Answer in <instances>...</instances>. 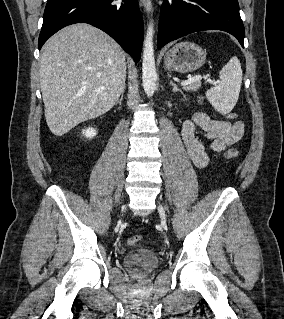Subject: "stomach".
Here are the masks:
<instances>
[{
    "label": "stomach",
    "mask_w": 284,
    "mask_h": 319,
    "mask_svg": "<svg viewBox=\"0 0 284 319\" xmlns=\"http://www.w3.org/2000/svg\"><path fill=\"white\" fill-rule=\"evenodd\" d=\"M206 61L205 51L197 44L180 42L164 56V66L169 71L189 73L202 67Z\"/></svg>",
    "instance_id": "1"
}]
</instances>
